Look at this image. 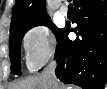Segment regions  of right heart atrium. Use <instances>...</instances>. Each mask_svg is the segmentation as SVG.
<instances>
[{"label": "right heart atrium", "instance_id": "obj_1", "mask_svg": "<svg viewBox=\"0 0 107 89\" xmlns=\"http://www.w3.org/2000/svg\"><path fill=\"white\" fill-rule=\"evenodd\" d=\"M23 49L29 70L41 68L55 52L56 41L51 29L44 24L30 28L23 36Z\"/></svg>", "mask_w": 107, "mask_h": 89}]
</instances>
